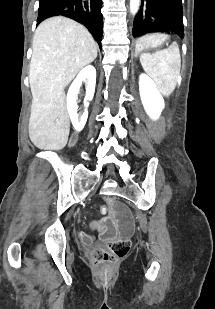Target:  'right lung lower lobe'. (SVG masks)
<instances>
[{
	"label": "right lung lower lobe",
	"instance_id": "obj_1",
	"mask_svg": "<svg viewBox=\"0 0 215 309\" xmlns=\"http://www.w3.org/2000/svg\"><path fill=\"white\" fill-rule=\"evenodd\" d=\"M101 8L102 0H88V2L82 0H40L37 26L49 17L66 16L85 25L101 47L103 32Z\"/></svg>",
	"mask_w": 215,
	"mask_h": 309
}]
</instances>
